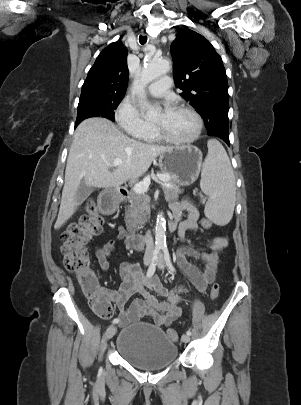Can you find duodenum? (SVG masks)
I'll use <instances>...</instances> for the list:
<instances>
[{"instance_id":"obj_1","label":"duodenum","mask_w":301,"mask_h":405,"mask_svg":"<svg viewBox=\"0 0 301 405\" xmlns=\"http://www.w3.org/2000/svg\"><path fill=\"white\" fill-rule=\"evenodd\" d=\"M127 191L125 188L119 190H103L102 194L98 195L97 207L100 213H104L105 218H110L111 213H116L117 207L123 205V199L126 197ZM177 223L171 220L168 223L169 232L175 231ZM127 244L135 250H141L146 244V236L143 234H130L127 236Z\"/></svg>"}]
</instances>
